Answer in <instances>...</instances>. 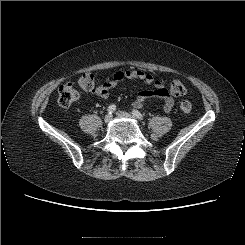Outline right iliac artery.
Wrapping results in <instances>:
<instances>
[{"label":"right iliac artery","mask_w":245,"mask_h":245,"mask_svg":"<svg viewBox=\"0 0 245 245\" xmlns=\"http://www.w3.org/2000/svg\"><path fill=\"white\" fill-rule=\"evenodd\" d=\"M116 110V106L114 104L110 105L107 109L109 114H112Z\"/></svg>","instance_id":"obj_1"}]
</instances>
